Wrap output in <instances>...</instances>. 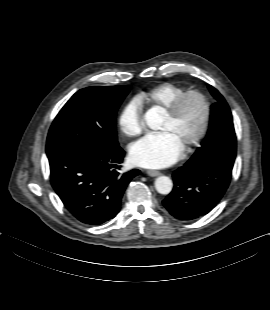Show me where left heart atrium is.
Here are the masks:
<instances>
[{
    "label": "left heart atrium",
    "instance_id": "39dd6f15",
    "mask_svg": "<svg viewBox=\"0 0 270 310\" xmlns=\"http://www.w3.org/2000/svg\"><path fill=\"white\" fill-rule=\"evenodd\" d=\"M183 149L168 132L150 134L129 149L130 162L139 167L158 169L179 159Z\"/></svg>",
    "mask_w": 270,
    "mask_h": 310
}]
</instances>
